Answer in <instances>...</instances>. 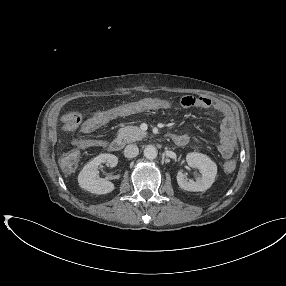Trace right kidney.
Segmentation results:
<instances>
[{
  "label": "right kidney",
  "instance_id": "1",
  "mask_svg": "<svg viewBox=\"0 0 286 286\" xmlns=\"http://www.w3.org/2000/svg\"><path fill=\"white\" fill-rule=\"evenodd\" d=\"M107 163L110 167H115L118 158L112 154H100L88 162L78 175L80 187L93 194H107L114 190L112 182L98 177V169L101 164Z\"/></svg>",
  "mask_w": 286,
  "mask_h": 286
}]
</instances>
